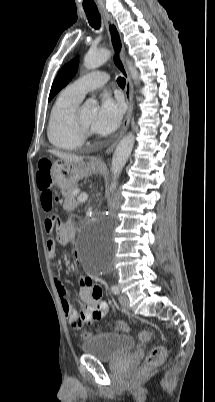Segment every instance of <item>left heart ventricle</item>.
Masks as SVG:
<instances>
[{
    "mask_svg": "<svg viewBox=\"0 0 215 402\" xmlns=\"http://www.w3.org/2000/svg\"><path fill=\"white\" fill-rule=\"evenodd\" d=\"M96 109L91 106H85L81 108V120L85 126L92 128V122L95 116Z\"/></svg>",
    "mask_w": 215,
    "mask_h": 402,
    "instance_id": "obj_1",
    "label": "left heart ventricle"
}]
</instances>
